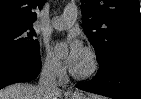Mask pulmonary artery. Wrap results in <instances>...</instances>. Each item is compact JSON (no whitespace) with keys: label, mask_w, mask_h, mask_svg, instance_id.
I'll use <instances>...</instances> for the list:
<instances>
[{"label":"pulmonary artery","mask_w":141,"mask_h":99,"mask_svg":"<svg viewBox=\"0 0 141 99\" xmlns=\"http://www.w3.org/2000/svg\"><path fill=\"white\" fill-rule=\"evenodd\" d=\"M77 7L75 5H67L64 12L60 16L52 19L51 27L56 30H64L69 28L77 18Z\"/></svg>","instance_id":"1"}]
</instances>
